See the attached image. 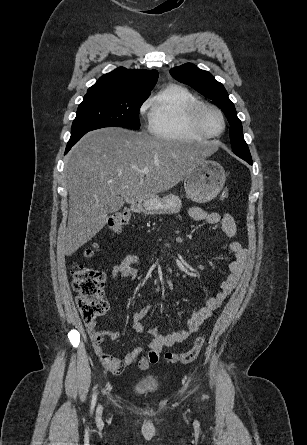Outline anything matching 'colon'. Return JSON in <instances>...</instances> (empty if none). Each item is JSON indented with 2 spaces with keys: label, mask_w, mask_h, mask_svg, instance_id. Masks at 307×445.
Here are the masks:
<instances>
[{
  "label": "colon",
  "mask_w": 307,
  "mask_h": 445,
  "mask_svg": "<svg viewBox=\"0 0 307 445\" xmlns=\"http://www.w3.org/2000/svg\"><path fill=\"white\" fill-rule=\"evenodd\" d=\"M229 189L224 188L220 193V200H227ZM130 220V215L126 211L116 213L110 219V228L113 231H120ZM95 250V245L87 248L84 252L86 257H90ZM72 285L77 293V304L81 316L86 323L93 322L97 317L106 313L108 305L103 298L105 285V275L99 270L86 267L81 264H73L71 267ZM205 342L204 335L198 336L192 347L184 353L167 352L165 359L169 363H191L195 361L203 348Z\"/></svg>",
  "instance_id": "colon-1"
}]
</instances>
